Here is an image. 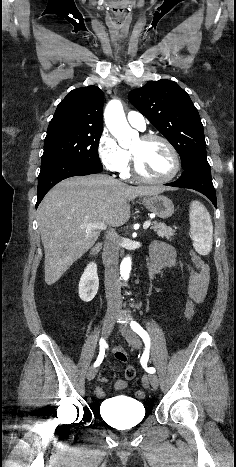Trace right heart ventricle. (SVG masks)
<instances>
[{"mask_svg": "<svg viewBox=\"0 0 236 467\" xmlns=\"http://www.w3.org/2000/svg\"><path fill=\"white\" fill-rule=\"evenodd\" d=\"M122 177L128 178L130 176L129 169L126 167L122 172H121Z\"/></svg>", "mask_w": 236, "mask_h": 467, "instance_id": "1", "label": "right heart ventricle"}]
</instances>
